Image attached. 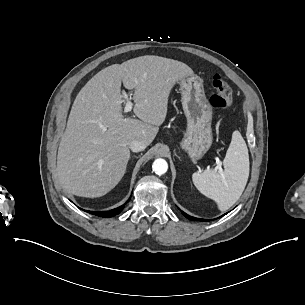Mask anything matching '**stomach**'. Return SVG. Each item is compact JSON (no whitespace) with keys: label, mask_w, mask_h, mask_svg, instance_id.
<instances>
[{"label":"stomach","mask_w":305,"mask_h":305,"mask_svg":"<svg viewBox=\"0 0 305 305\" xmlns=\"http://www.w3.org/2000/svg\"><path fill=\"white\" fill-rule=\"evenodd\" d=\"M180 92L182 107L186 116V131L179 141L180 150L197 162L209 151L213 144V108L206 98L203 82L196 75L182 79Z\"/></svg>","instance_id":"obj_1"}]
</instances>
